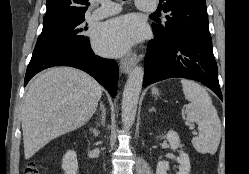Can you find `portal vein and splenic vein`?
<instances>
[{
	"mask_svg": "<svg viewBox=\"0 0 249 174\" xmlns=\"http://www.w3.org/2000/svg\"><path fill=\"white\" fill-rule=\"evenodd\" d=\"M194 127H193V125H190V129H193ZM193 134H196V132H193Z\"/></svg>",
	"mask_w": 249,
	"mask_h": 174,
	"instance_id": "portal-vein-and-splenic-vein-1",
	"label": "portal vein and splenic vein"
}]
</instances>
